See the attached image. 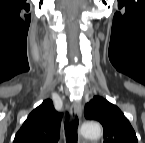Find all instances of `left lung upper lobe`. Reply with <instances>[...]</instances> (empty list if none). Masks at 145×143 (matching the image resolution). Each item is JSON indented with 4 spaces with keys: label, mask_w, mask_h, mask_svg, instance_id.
Segmentation results:
<instances>
[{
    "label": "left lung upper lobe",
    "mask_w": 145,
    "mask_h": 143,
    "mask_svg": "<svg viewBox=\"0 0 145 143\" xmlns=\"http://www.w3.org/2000/svg\"><path fill=\"white\" fill-rule=\"evenodd\" d=\"M84 115L103 125L104 143H138L131 124L121 110L106 99L95 96L86 104Z\"/></svg>",
    "instance_id": "5c2ea615"
}]
</instances>
